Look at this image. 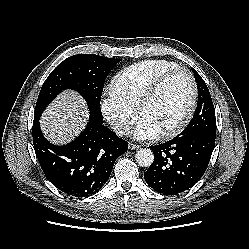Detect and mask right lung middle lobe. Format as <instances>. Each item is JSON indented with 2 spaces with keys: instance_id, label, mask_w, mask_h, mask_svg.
Instances as JSON below:
<instances>
[{
  "instance_id": "dd1d6c3e",
  "label": "right lung middle lobe",
  "mask_w": 249,
  "mask_h": 249,
  "mask_svg": "<svg viewBox=\"0 0 249 249\" xmlns=\"http://www.w3.org/2000/svg\"><path fill=\"white\" fill-rule=\"evenodd\" d=\"M121 60L78 54L62 61L47 77L39 93L34 118H40L47 105L65 89L79 92L87 101L90 118L103 123L100 109L104 81Z\"/></svg>"
}]
</instances>
